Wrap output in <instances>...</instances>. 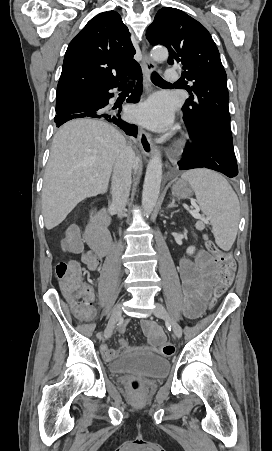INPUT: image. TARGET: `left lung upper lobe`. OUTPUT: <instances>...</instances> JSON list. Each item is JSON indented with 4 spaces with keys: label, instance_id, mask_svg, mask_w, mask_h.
Listing matches in <instances>:
<instances>
[{
    "label": "left lung upper lobe",
    "instance_id": "obj_1",
    "mask_svg": "<svg viewBox=\"0 0 272 451\" xmlns=\"http://www.w3.org/2000/svg\"><path fill=\"white\" fill-rule=\"evenodd\" d=\"M146 37L151 45L166 46L168 64L180 66L185 78L193 82L188 90L191 97L182 108L183 120L191 128L189 135L215 129L232 138L226 72L207 29L183 11L163 7Z\"/></svg>",
    "mask_w": 272,
    "mask_h": 451
}]
</instances>
